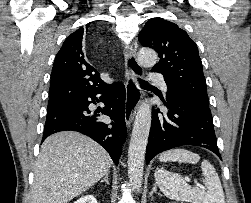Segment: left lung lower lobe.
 Masks as SVG:
<instances>
[{
    "label": "left lung lower lobe",
    "mask_w": 251,
    "mask_h": 203,
    "mask_svg": "<svg viewBox=\"0 0 251 203\" xmlns=\"http://www.w3.org/2000/svg\"><path fill=\"white\" fill-rule=\"evenodd\" d=\"M162 101L168 112H152L147 164L158 153L183 145L207 148L221 158L209 107L183 94Z\"/></svg>",
    "instance_id": "left-lung-lower-lobe-1"
}]
</instances>
